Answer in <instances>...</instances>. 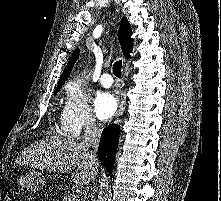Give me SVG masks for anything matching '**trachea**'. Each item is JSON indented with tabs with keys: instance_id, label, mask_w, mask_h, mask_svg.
Returning a JSON list of instances; mask_svg holds the SVG:
<instances>
[{
	"instance_id": "1",
	"label": "trachea",
	"mask_w": 221,
	"mask_h": 201,
	"mask_svg": "<svg viewBox=\"0 0 221 201\" xmlns=\"http://www.w3.org/2000/svg\"><path fill=\"white\" fill-rule=\"evenodd\" d=\"M121 69H122V61L118 60L113 65V73L116 77L121 76Z\"/></svg>"
}]
</instances>
